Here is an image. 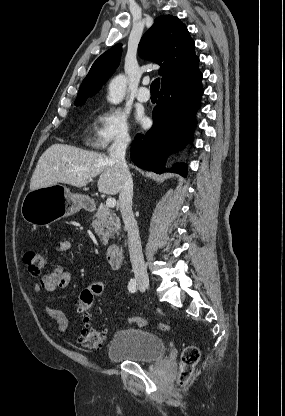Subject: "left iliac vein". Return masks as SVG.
Instances as JSON below:
<instances>
[{
	"label": "left iliac vein",
	"instance_id": "1",
	"mask_svg": "<svg viewBox=\"0 0 285 416\" xmlns=\"http://www.w3.org/2000/svg\"><path fill=\"white\" fill-rule=\"evenodd\" d=\"M140 291L144 292L145 289L143 287L140 286Z\"/></svg>",
	"mask_w": 285,
	"mask_h": 416
}]
</instances>
